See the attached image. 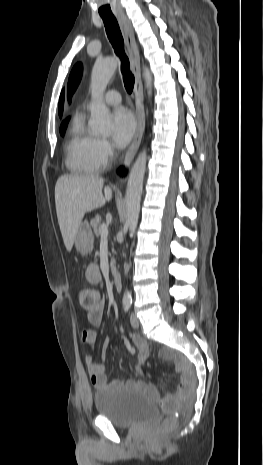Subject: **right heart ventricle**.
I'll return each instance as SVG.
<instances>
[{"label":"right heart ventricle","instance_id":"obj_1","mask_svg":"<svg viewBox=\"0 0 263 465\" xmlns=\"http://www.w3.org/2000/svg\"><path fill=\"white\" fill-rule=\"evenodd\" d=\"M98 138L88 132L80 118L74 119L65 146L66 165L77 174H94L105 163L98 154Z\"/></svg>","mask_w":263,"mask_h":465}]
</instances>
